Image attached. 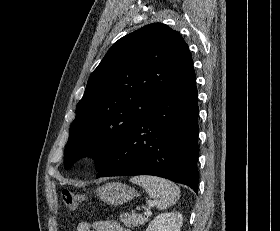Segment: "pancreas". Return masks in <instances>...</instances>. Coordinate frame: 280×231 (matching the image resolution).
I'll use <instances>...</instances> for the list:
<instances>
[{"mask_svg":"<svg viewBox=\"0 0 280 231\" xmlns=\"http://www.w3.org/2000/svg\"><path fill=\"white\" fill-rule=\"evenodd\" d=\"M121 221H123L124 225L127 227H132V225H144L146 221H149L148 217H144V215H140V213H132V215H128V213H120Z\"/></svg>","mask_w":280,"mask_h":231,"instance_id":"pancreas-1","label":"pancreas"}]
</instances>
